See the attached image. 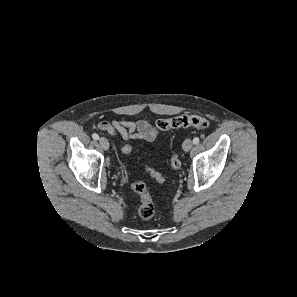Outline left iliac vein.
I'll return each mask as SVG.
<instances>
[{
	"label": "left iliac vein",
	"instance_id": "4c4485c4",
	"mask_svg": "<svg viewBox=\"0 0 297 297\" xmlns=\"http://www.w3.org/2000/svg\"><path fill=\"white\" fill-rule=\"evenodd\" d=\"M193 147V142L190 140V139H186L184 142H183V150L185 152H189Z\"/></svg>",
	"mask_w": 297,
	"mask_h": 297
}]
</instances>
